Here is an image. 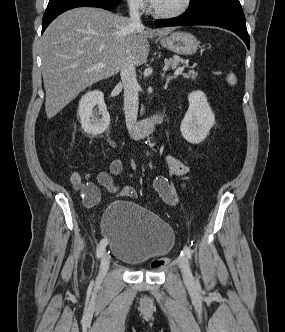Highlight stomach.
<instances>
[{
	"instance_id": "stomach-1",
	"label": "stomach",
	"mask_w": 285,
	"mask_h": 332,
	"mask_svg": "<svg viewBox=\"0 0 285 332\" xmlns=\"http://www.w3.org/2000/svg\"><path fill=\"white\" fill-rule=\"evenodd\" d=\"M160 43L163 47L179 55H192L199 46V41L191 33L175 32L169 36L162 37Z\"/></svg>"
}]
</instances>
